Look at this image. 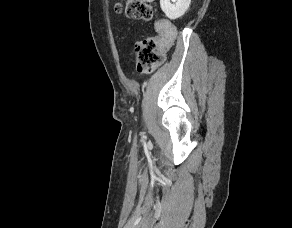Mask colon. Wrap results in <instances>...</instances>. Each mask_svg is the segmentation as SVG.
<instances>
[{
  "label": "colon",
  "mask_w": 292,
  "mask_h": 228,
  "mask_svg": "<svg viewBox=\"0 0 292 228\" xmlns=\"http://www.w3.org/2000/svg\"><path fill=\"white\" fill-rule=\"evenodd\" d=\"M115 9L136 20L149 21L153 17L152 7L140 0L117 3ZM156 31L157 35L135 44L134 55L139 72L150 73L160 66L164 61V53L174 40L175 32L169 24L158 22Z\"/></svg>",
  "instance_id": "obj_1"
}]
</instances>
